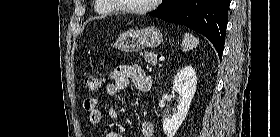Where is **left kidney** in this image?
Wrapping results in <instances>:
<instances>
[{
    "label": "left kidney",
    "mask_w": 280,
    "mask_h": 137,
    "mask_svg": "<svg viewBox=\"0 0 280 137\" xmlns=\"http://www.w3.org/2000/svg\"><path fill=\"white\" fill-rule=\"evenodd\" d=\"M197 87V77L192 66L182 67L173 80V89L179 94L180 102L178 111L171 118H165L162 122L164 134L174 137L175 133L185 120Z\"/></svg>",
    "instance_id": "5707ae66"
}]
</instances>
